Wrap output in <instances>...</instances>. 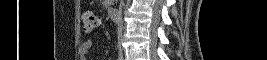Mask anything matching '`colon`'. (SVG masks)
I'll use <instances>...</instances> for the list:
<instances>
[{"instance_id":"5ec220e1","label":"colon","mask_w":267,"mask_h":60,"mask_svg":"<svg viewBox=\"0 0 267 60\" xmlns=\"http://www.w3.org/2000/svg\"><path fill=\"white\" fill-rule=\"evenodd\" d=\"M83 30L86 33L93 32L100 25V18L91 12H85L82 16Z\"/></svg>"}]
</instances>
